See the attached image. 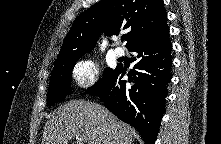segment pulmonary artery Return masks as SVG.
Listing matches in <instances>:
<instances>
[{
	"mask_svg": "<svg viewBox=\"0 0 221 144\" xmlns=\"http://www.w3.org/2000/svg\"><path fill=\"white\" fill-rule=\"evenodd\" d=\"M114 55H115L116 57H122V56L124 55V50H123V48H121V47H116V48L114 49Z\"/></svg>",
	"mask_w": 221,
	"mask_h": 144,
	"instance_id": "e3ab8cb5",
	"label": "pulmonary artery"
}]
</instances>
